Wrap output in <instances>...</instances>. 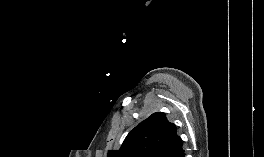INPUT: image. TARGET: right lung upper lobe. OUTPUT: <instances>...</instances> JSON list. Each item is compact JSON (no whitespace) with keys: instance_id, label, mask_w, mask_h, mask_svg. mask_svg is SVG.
Wrapping results in <instances>:
<instances>
[{"instance_id":"obj_1","label":"right lung upper lobe","mask_w":264,"mask_h":157,"mask_svg":"<svg viewBox=\"0 0 264 157\" xmlns=\"http://www.w3.org/2000/svg\"><path fill=\"white\" fill-rule=\"evenodd\" d=\"M182 140L176 125L162 112L153 113L129 132L119 150L108 157H182Z\"/></svg>"}]
</instances>
